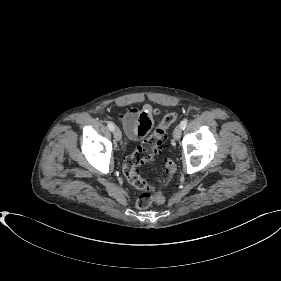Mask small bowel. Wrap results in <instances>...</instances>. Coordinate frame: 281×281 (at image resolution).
Returning <instances> with one entry per match:
<instances>
[{
    "label": "small bowel",
    "instance_id": "obj_1",
    "mask_svg": "<svg viewBox=\"0 0 281 281\" xmlns=\"http://www.w3.org/2000/svg\"><path fill=\"white\" fill-rule=\"evenodd\" d=\"M158 114V110L146 104L141 109H131L123 114L120 119L127 136L137 140L147 135L153 125V117Z\"/></svg>",
    "mask_w": 281,
    "mask_h": 281
}]
</instances>
